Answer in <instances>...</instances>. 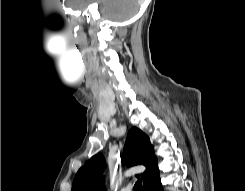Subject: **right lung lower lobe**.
<instances>
[{"label":"right lung lower lobe","mask_w":245,"mask_h":191,"mask_svg":"<svg viewBox=\"0 0 245 191\" xmlns=\"http://www.w3.org/2000/svg\"><path fill=\"white\" fill-rule=\"evenodd\" d=\"M144 191H163L160 177H157L154 181L145 186Z\"/></svg>","instance_id":"98d812e1"}]
</instances>
